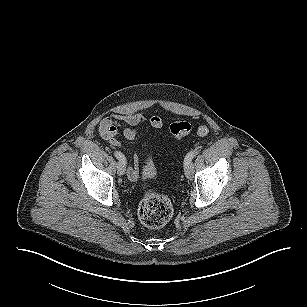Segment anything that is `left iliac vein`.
Segmentation results:
<instances>
[{
    "label": "left iliac vein",
    "instance_id": "obj_1",
    "mask_svg": "<svg viewBox=\"0 0 307 307\" xmlns=\"http://www.w3.org/2000/svg\"><path fill=\"white\" fill-rule=\"evenodd\" d=\"M184 172H185V176L187 177V179L193 178L194 166L192 162L184 166Z\"/></svg>",
    "mask_w": 307,
    "mask_h": 307
}]
</instances>
